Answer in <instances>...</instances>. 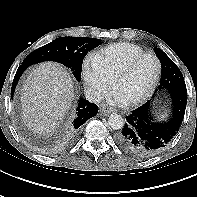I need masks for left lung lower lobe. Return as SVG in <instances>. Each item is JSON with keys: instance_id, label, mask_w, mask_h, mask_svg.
Listing matches in <instances>:
<instances>
[{"instance_id": "left-lung-lower-lobe-1", "label": "left lung lower lobe", "mask_w": 197, "mask_h": 197, "mask_svg": "<svg viewBox=\"0 0 197 197\" xmlns=\"http://www.w3.org/2000/svg\"><path fill=\"white\" fill-rule=\"evenodd\" d=\"M172 112L165 121H158L148 101L126 116V122L117 134L118 145L137 158H148L162 151L179 131L187 105L186 87L170 91Z\"/></svg>"}]
</instances>
